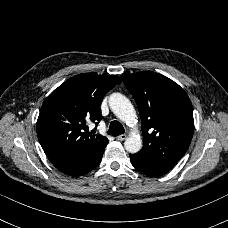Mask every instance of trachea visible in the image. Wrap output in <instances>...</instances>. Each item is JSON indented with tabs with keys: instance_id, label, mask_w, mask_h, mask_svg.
I'll return each mask as SVG.
<instances>
[{
	"instance_id": "1",
	"label": "trachea",
	"mask_w": 228,
	"mask_h": 228,
	"mask_svg": "<svg viewBox=\"0 0 228 228\" xmlns=\"http://www.w3.org/2000/svg\"><path fill=\"white\" fill-rule=\"evenodd\" d=\"M125 132L122 124L119 121H112L109 125L108 134L111 136H119Z\"/></svg>"
}]
</instances>
